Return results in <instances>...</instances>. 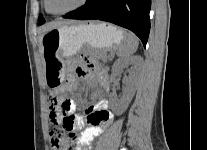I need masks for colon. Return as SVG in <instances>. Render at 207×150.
<instances>
[{
  "instance_id": "5ec220e1",
  "label": "colon",
  "mask_w": 207,
  "mask_h": 150,
  "mask_svg": "<svg viewBox=\"0 0 207 150\" xmlns=\"http://www.w3.org/2000/svg\"><path fill=\"white\" fill-rule=\"evenodd\" d=\"M60 94L50 96V125L55 127L50 132L51 150H77V135L72 130V120L67 107L69 99H62Z\"/></svg>"
}]
</instances>
